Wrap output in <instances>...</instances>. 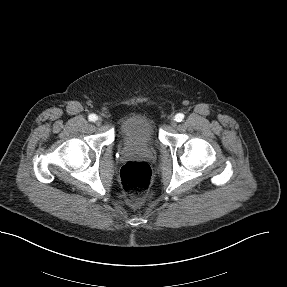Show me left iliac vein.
<instances>
[{
	"mask_svg": "<svg viewBox=\"0 0 287 287\" xmlns=\"http://www.w3.org/2000/svg\"><path fill=\"white\" fill-rule=\"evenodd\" d=\"M170 124H171L172 127H176L177 122L175 121V119H172Z\"/></svg>",
	"mask_w": 287,
	"mask_h": 287,
	"instance_id": "1",
	"label": "left iliac vein"
}]
</instances>
